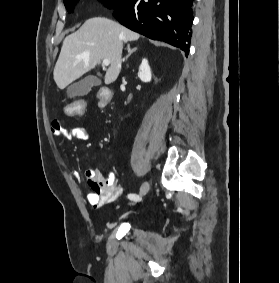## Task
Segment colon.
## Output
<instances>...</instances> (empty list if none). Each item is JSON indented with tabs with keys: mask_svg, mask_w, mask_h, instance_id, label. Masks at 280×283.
<instances>
[{
	"mask_svg": "<svg viewBox=\"0 0 280 283\" xmlns=\"http://www.w3.org/2000/svg\"><path fill=\"white\" fill-rule=\"evenodd\" d=\"M100 99L105 102L110 99L111 94L108 87H97ZM65 116H83L85 110V99H74V103H66L64 106Z\"/></svg>",
	"mask_w": 280,
	"mask_h": 283,
	"instance_id": "obj_1",
	"label": "colon"
}]
</instances>
